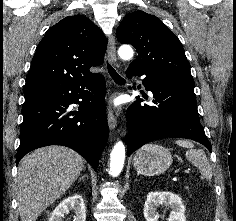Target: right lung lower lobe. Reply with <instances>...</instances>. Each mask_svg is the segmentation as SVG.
I'll return each instance as SVG.
<instances>
[{
  "instance_id": "1",
  "label": "right lung lower lobe",
  "mask_w": 236,
  "mask_h": 221,
  "mask_svg": "<svg viewBox=\"0 0 236 221\" xmlns=\"http://www.w3.org/2000/svg\"><path fill=\"white\" fill-rule=\"evenodd\" d=\"M105 87L104 77L97 74L25 93L16 164L34 149L63 145L77 151L97 170L108 138ZM73 103L80 105L79 110L68 112Z\"/></svg>"
}]
</instances>
